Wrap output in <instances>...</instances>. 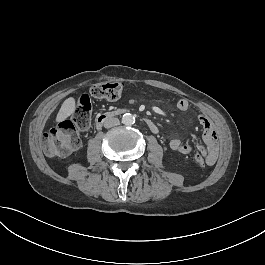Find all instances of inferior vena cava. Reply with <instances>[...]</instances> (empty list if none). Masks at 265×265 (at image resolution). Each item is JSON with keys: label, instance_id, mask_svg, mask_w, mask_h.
<instances>
[{"label": "inferior vena cava", "instance_id": "1", "mask_svg": "<svg viewBox=\"0 0 265 265\" xmlns=\"http://www.w3.org/2000/svg\"><path fill=\"white\" fill-rule=\"evenodd\" d=\"M119 123H120V121L118 118L109 117V118L105 119L103 125L106 129H108V128H112L114 126H118Z\"/></svg>", "mask_w": 265, "mask_h": 265}]
</instances>
